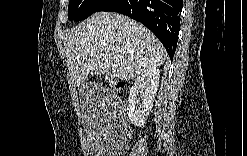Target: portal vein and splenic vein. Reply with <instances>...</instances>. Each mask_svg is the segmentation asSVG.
<instances>
[{
  "label": "portal vein and splenic vein",
  "instance_id": "portal-vein-and-splenic-vein-1",
  "mask_svg": "<svg viewBox=\"0 0 247 156\" xmlns=\"http://www.w3.org/2000/svg\"><path fill=\"white\" fill-rule=\"evenodd\" d=\"M119 59H120L119 57H116L114 60H115V61H119Z\"/></svg>",
  "mask_w": 247,
  "mask_h": 156
}]
</instances>
